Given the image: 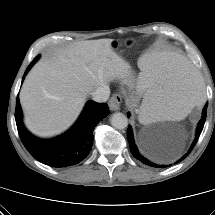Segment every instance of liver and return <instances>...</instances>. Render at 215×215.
Returning a JSON list of instances; mask_svg holds the SVG:
<instances>
[{
  "instance_id": "6515ba94",
  "label": "liver",
  "mask_w": 215,
  "mask_h": 215,
  "mask_svg": "<svg viewBox=\"0 0 215 215\" xmlns=\"http://www.w3.org/2000/svg\"><path fill=\"white\" fill-rule=\"evenodd\" d=\"M112 42H77L31 69L20 91V103L32 133L50 137L65 131L79 116L90 92L114 79L126 81L129 64L113 50Z\"/></svg>"
}]
</instances>
